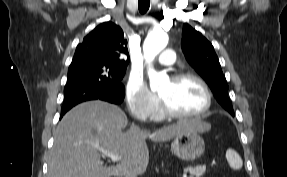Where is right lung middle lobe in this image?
Here are the masks:
<instances>
[{
  "mask_svg": "<svg viewBox=\"0 0 287 177\" xmlns=\"http://www.w3.org/2000/svg\"><path fill=\"white\" fill-rule=\"evenodd\" d=\"M125 71V69L103 62L74 63L69 66L67 82L78 79H91L110 85L122 84L121 80L125 75Z\"/></svg>",
  "mask_w": 287,
  "mask_h": 177,
  "instance_id": "right-lung-middle-lobe-1",
  "label": "right lung middle lobe"
}]
</instances>
